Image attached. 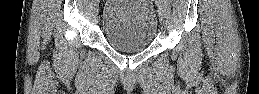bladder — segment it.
Returning a JSON list of instances; mask_svg holds the SVG:
<instances>
[{
    "label": "bladder",
    "instance_id": "bladder-1",
    "mask_svg": "<svg viewBox=\"0 0 259 94\" xmlns=\"http://www.w3.org/2000/svg\"><path fill=\"white\" fill-rule=\"evenodd\" d=\"M155 9L149 0H108L101 18V31L115 49L139 52L157 35Z\"/></svg>",
    "mask_w": 259,
    "mask_h": 94
}]
</instances>
